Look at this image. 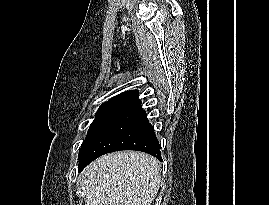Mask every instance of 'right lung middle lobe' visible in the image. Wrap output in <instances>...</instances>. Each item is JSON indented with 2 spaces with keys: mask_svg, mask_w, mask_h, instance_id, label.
<instances>
[{
  "mask_svg": "<svg viewBox=\"0 0 269 205\" xmlns=\"http://www.w3.org/2000/svg\"><path fill=\"white\" fill-rule=\"evenodd\" d=\"M123 107H113V106H101L96 113V118L92 122L86 139L84 140L81 149L79 151V156L81 155L84 148L91 142V140L116 116L125 111Z\"/></svg>",
  "mask_w": 269,
  "mask_h": 205,
  "instance_id": "right-lung-middle-lobe-1",
  "label": "right lung middle lobe"
}]
</instances>
